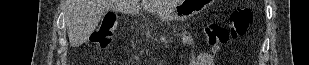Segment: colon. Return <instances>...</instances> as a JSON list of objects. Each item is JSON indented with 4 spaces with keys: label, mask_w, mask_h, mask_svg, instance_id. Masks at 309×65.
<instances>
[{
    "label": "colon",
    "mask_w": 309,
    "mask_h": 65,
    "mask_svg": "<svg viewBox=\"0 0 309 65\" xmlns=\"http://www.w3.org/2000/svg\"><path fill=\"white\" fill-rule=\"evenodd\" d=\"M253 22V13L248 8H239L232 12L228 25L211 23L203 28V34L209 45L225 43L229 39L244 36ZM119 22L115 17L105 19L95 36V42L102 48H107L113 42Z\"/></svg>",
    "instance_id": "colon-1"
}]
</instances>
